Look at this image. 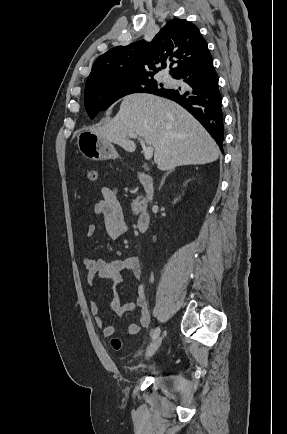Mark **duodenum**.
<instances>
[{
  "instance_id": "duodenum-1",
  "label": "duodenum",
  "mask_w": 287,
  "mask_h": 434,
  "mask_svg": "<svg viewBox=\"0 0 287 434\" xmlns=\"http://www.w3.org/2000/svg\"><path fill=\"white\" fill-rule=\"evenodd\" d=\"M138 178L144 188V197H143L144 201L151 200L154 195L153 178L145 172H140ZM150 221H151V216L149 212L143 209L140 212L137 219V228L140 233H144L148 229Z\"/></svg>"
}]
</instances>
